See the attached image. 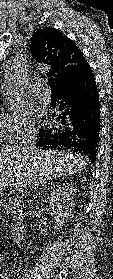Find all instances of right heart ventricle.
Returning <instances> with one entry per match:
<instances>
[{"label": "right heart ventricle", "instance_id": "right-heart-ventricle-1", "mask_svg": "<svg viewBox=\"0 0 113 279\" xmlns=\"http://www.w3.org/2000/svg\"><path fill=\"white\" fill-rule=\"evenodd\" d=\"M9 140V135L5 124V117L0 114V145L8 143Z\"/></svg>", "mask_w": 113, "mask_h": 279}]
</instances>
